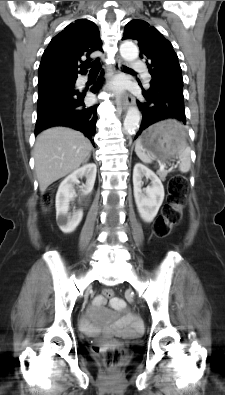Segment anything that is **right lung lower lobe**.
<instances>
[{
  "label": "right lung lower lobe",
  "instance_id": "98d812e1",
  "mask_svg": "<svg viewBox=\"0 0 225 395\" xmlns=\"http://www.w3.org/2000/svg\"><path fill=\"white\" fill-rule=\"evenodd\" d=\"M101 85L96 82L91 91L96 93ZM85 94L75 90L73 84L56 88L38 98L35 135L49 127L67 126L83 132L92 140L96 132L97 105L85 106Z\"/></svg>",
  "mask_w": 225,
  "mask_h": 395
}]
</instances>
